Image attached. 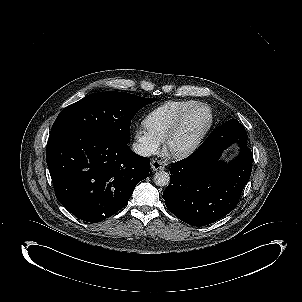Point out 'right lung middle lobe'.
Masks as SVG:
<instances>
[{"mask_svg": "<svg viewBox=\"0 0 302 302\" xmlns=\"http://www.w3.org/2000/svg\"><path fill=\"white\" fill-rule=\"evenodd\" d=\"M155 100L114 91L90 94L60 112L49 139L79 132H97L128 144L131 120L136 112Z\"/></svg>", "mask_w": 302, "mask_h": 302, "instance_id": "1", "label": "right lung middle lobe"}]
</instances>
